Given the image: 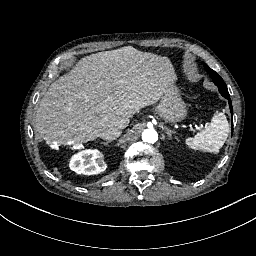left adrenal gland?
<instances>
[{
	"instance_id": "1",
	"label": "left adrenal gland",
	"mask_w": 256,
	"mask_h": 256,
	"mask_svg": "<svg viewBox=\"0 0 256 256\" xmlns=\"http://www.w3.org/2000/svg\"><path fill=\"white\" fill-rule=\"evenodd\" d=\"M164 130H165L166 134L168 135L169 139L172 138V134H175V133H176V131L169 129V128L166 127V126H164Z\"/></svg>"
}]
</instances>
